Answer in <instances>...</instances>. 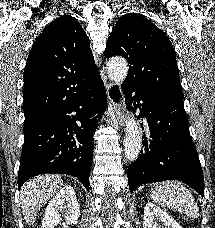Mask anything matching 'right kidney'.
<instances>
[{
  "label": "right kidney",
  "mask_w": 215,
  "mask_h": 228,
  "mask_svg": "<svg viewBox=\"0 0 215 228\" xmlns=\"http://www.w3.org/2000/svg\"><path fill=\"white\" fill-rule=\"evenodd\" d=\"M65 212L66 224H61L60 212ZM80 218V208L76 194L71 186H64L58 194L50 200L44 214L41 228H70Z\"/></svg>",
  "instance_id": "ca27d5eb"
}]
</instances>
